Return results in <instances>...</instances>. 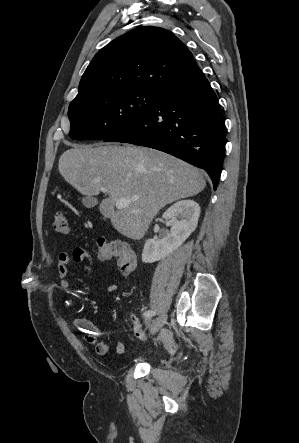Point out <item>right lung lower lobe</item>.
<instances>
[{
  "label": "right lung lower lobe",
  "mask_w": 299,
  "mask_h": 443,
  "mask_svg": "<svg viewBox=\"0 0 299 443\" xmlns=\"http://www.w3.org/2000/svg\"><path fill=\"white\" fill-rule=\"evenodd\" d=\"M103 141L169 153L205 169L216 189L225 151L224 117L215 92L199 71L162 89L146 114Z\"/></svg>",
  "instance_id": "1"
}]
</instances>
